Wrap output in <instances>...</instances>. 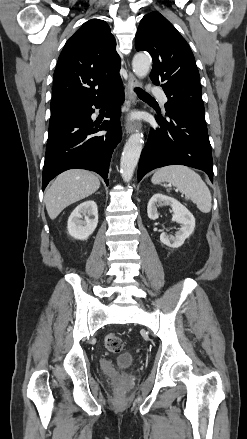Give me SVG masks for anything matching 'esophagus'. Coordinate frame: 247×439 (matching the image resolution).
<instances>
[{
  "label": "esophagus",
  "mask_w": 247,
  "mask_h": 439,
  "mask_svg": "<svg viewBox=\"0 0 247 439\" xmlns=\"http://www.w3.org/2000/svg\"><path fill=\"white\" fill-rule=\"evenodd\" d=\"M139 85H140L139 80L134 76V74L131 71H129L126 90L132 105H134L137 101L135 88L139 87ZM125 127L127 133H132L136 129L140 128V124L138 122H133L128 120Z\"/></svg>",
  "instance_id": "34e87169"
}]
</instances>
